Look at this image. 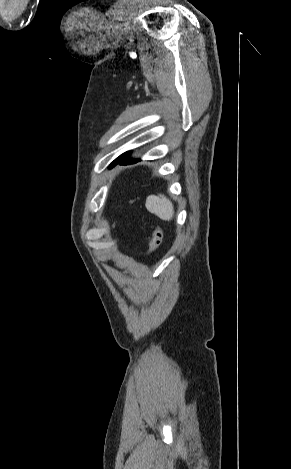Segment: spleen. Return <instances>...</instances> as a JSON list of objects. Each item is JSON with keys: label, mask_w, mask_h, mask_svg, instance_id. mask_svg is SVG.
I'll return each mask as SVG.
<instances>
[{"label": "spleen", "mask_w": 291, "mask_h": 469, "mask_svg": "<svg viewBox=\"0 0 291 469\" xmlns=\"http://www.w3.org/2000/svg\"><path fill=\"white\" fill-rule=\"evenodd\" d=\"M145 205L149 212L162 220L170 221L174 216L173 204L164 195L148 196Z\"/></svg>", "instance_id": "3e777b00"}]
</instances>
